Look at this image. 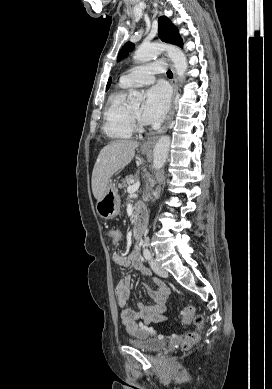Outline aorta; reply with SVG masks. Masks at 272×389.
<instances>
[{
  "label": "aorta",
  "instance_id": "762f6f07",
  "mask_svg": "<svg viewBox=\"0 0 272 389\" xmlns=\"http://www.w3.org/2000/svg\"><path fill=\"white\" fill-rule=\"evenodd\" d=\"M163 51L167 52L168 57L174 63L176 73L183 82L185 79V73L188 68V63L183 51L174 45L163 44V43H150L141 45L134 54V60L137 62H147ZM144 101V95L136 90L130 91L128 95V102L131 104H140ZM171 138L168 135L160 137L155 144L153 150V166L159 171L165 164L170 149Z\"/></svg>",
  "mask_w": 272,
  "mask_h": 389
}]
</instances>
